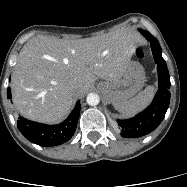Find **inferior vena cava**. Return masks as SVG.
Listing matches in <instances>:
<instances>
[{"mask_svg":"<svg viewBox=\"0 0 187 187\" xmlns=\"http://www.w3.org/2000/svg\"><path fill=\"white\" fill-rule=\"evenodd\" d=\"M72 94H76V90L74 88L71 89Z\"/></svg>","mask_w":187,"mask_h":187,"instance_id":"obj_1","label":"inferior vena cava"}]
</instances>
